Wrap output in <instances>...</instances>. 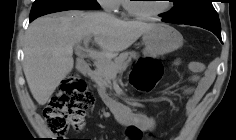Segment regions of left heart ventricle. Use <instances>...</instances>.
Listing matches in <instances>:
<instances>
[{"label": "left heart ventricle", "instance_id": "b2bd125f", "mask_svg": "<svg viewBox=\"0 0 236 140\" xmlns=\"http://www.w3.org/2000/svg\"><path fill=\"white\" fill-rule=\"evenodd\" d=\"M166 2L161 0H140L134 3L135 7L144 13H151L162 10L166 7Z\"/></svg>", "mask_w": 236, "mask_h": 140}]
</instances>
